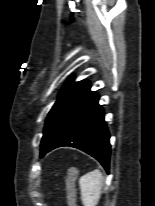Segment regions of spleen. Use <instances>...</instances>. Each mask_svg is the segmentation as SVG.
<instances>
[{
    "instance_id": "1",
    "label": "spleen",
    "mask_w": 155,
    "mask_h": 206,
    "mask_svg": "<svg viewBox=\"0 0 155 206\" xmlns=\"http://www.w3.org/2000/svg\"><path fill=\"white\" fill-rule=\"evenodd\" d=\"M103 175L96 169L88 172L79 179L81 200L84 206H96L101 196Z\"/></svg>"
}]
</instances>
